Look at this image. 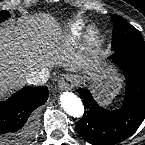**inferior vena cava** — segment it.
<instances>
[{
    "label": "inferior vena cava",
    "mask_w": 145,
    "mask_h": 145,
    "mask_svg": "<svg viewBox=\"0 0 145 145\" xmlns=\"http://www.w3.org/2000/svg\"><path fill=\"white\" fill-rule=\"evenodd\" d=\"M49 72L45 70L32 71L26 76L28 83L33 85H41L47 82Z\"/></svg>",
    "instance_id": "obj_1"
}]
</instances>
